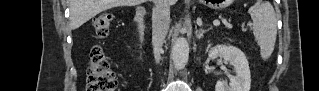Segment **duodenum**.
Instances as JSON below:
<instances>
[{
  "label": "duodenum",
  "mask_w": 319,
  "mask_h": 91,
  "mask_svg": "<svg viewBox=\"0 0 319 91\" xmlns=\"http://www.w3.org/2000/svg\"><path fill=\"white\" fill-rule=\"evenodd\" d=\"M147 19V14L144 8L140 7L136 10L133 30L138 44V52L141 58L145 57L144 50V27Z\"/></svg>",
  "instance_id": "duodenum-1"
}]
</instances>
